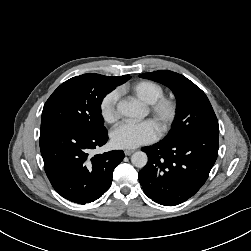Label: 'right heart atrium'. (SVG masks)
<instances>
[{
  "label": "right heart atrium",
  "instance_id": "1",
  "mask_svg": "<svg viewBox=\"0 0 251 251\" xmlns=\"http://www.w3.org/2000/svg\"><path fill=\"white\" fill-rule=\"evenodd\" d=\"M119 100V91L111 90L106 93L100 101L99 110L102 119L107 123H113L118 118L117 103Z\"/></svg>",
  "mask_w": 251,
  "mask_h": 251
}]
</instances>
